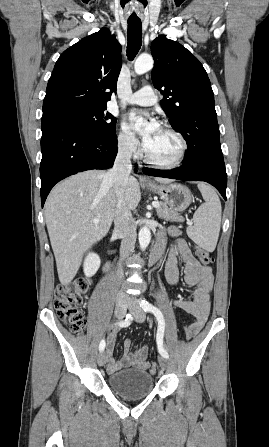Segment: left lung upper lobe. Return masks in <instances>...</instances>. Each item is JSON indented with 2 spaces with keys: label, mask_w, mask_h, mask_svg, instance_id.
Wrapping results in <instances>:
<instances>
[{
  "label": "left lung upper lobe",
  "mask_w": 269,
  "mask_h": 447,
  "mask_svg": "<svg viewBox=\"0 0 269 447\" xmlns=\"http://www.w3.org/2000/svg\"><path fill=\"white\" fill-rule=\"evenodd\" d=\"M151 78L163 94L160 104L174 130L185 138L184 162L221 152L214 94L205 69L181 44L158 36L151 44Z\"/></svg>",
  "instance_id": "5c2ea615"
}]
</instances>
